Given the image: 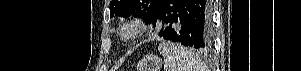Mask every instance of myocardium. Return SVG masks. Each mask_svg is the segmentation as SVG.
Listing matches in <instances>:
<instances>
[{
	"instance_id": "myocardium-1",
	"label": "myocardium",
	"mask_w": 301,
	"mask_h": 71,
	"mask_svg": "<svg viewBox=\"0 0 301 71\" xmlns=\"http://www.w3.org/2000/svg\"><path fill=\"white\" fill-rule=\"evenodd\" d=\"M147 24L141 18H133L124 22L119 28V37L124 42H132L146 30Z\"/></svg>"
}]
</instances>
